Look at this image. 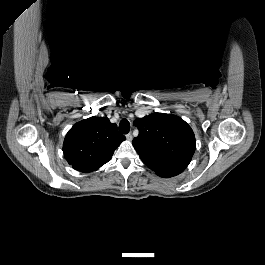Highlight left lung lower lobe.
Wrapping results in <instances>:
<instances>
[{"label":"left lung lower lobe","instance_id":"left-lung-lower-lobe-1","mask_svg":"<svg viewBox=\"0 0 265 265\" xmlns=\"http://www.w3.org/2000/svg\"><path fill=\"white\" fill-rule=\"evenodd\" d=\"M188 164L189 163H176L161 169H156L154 171L156 172L157 175L161 177L169 178L180 174L183 170L186 169Z\"/></svg>","mask_w":265,"mask_h":265}]
</instances>
